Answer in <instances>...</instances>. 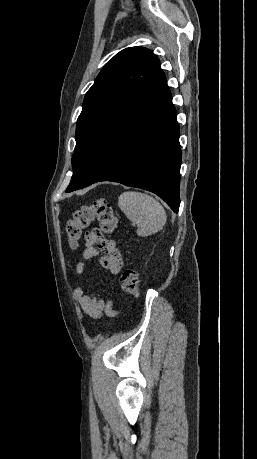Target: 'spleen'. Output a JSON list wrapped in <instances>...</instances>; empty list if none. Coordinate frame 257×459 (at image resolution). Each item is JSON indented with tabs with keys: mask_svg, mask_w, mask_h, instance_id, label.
I'll use <instances>...</instances> for the list:
<instances>
[{
	"mask_svg": "<svg viewBox=\"0 0 257 459\" xmlns=\"http://www.w3.org/2000/svg\"><path fill=\"white\" fill-rule=\"evenodd\" d=\"M118 206L126 217L138 226L139 236L152 235L164 227L166 212L163 206L152 196L136 191L120 194Z\"/></svg>",
	"mask_w": 257,
	"mask_h": 459,
	"instance_id": "1",
	"label": "spleen"
}]
</instances>
